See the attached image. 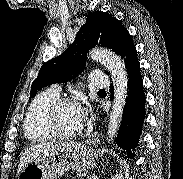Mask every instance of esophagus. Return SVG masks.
Returning a JSON list of instances; mask_svg holds the SVG:
<instances>
[{
	"mask_svg": "<svg viewBox=\"0 0 183 179\" xmlns=\"http://www.w3.org/2000/svg\"><path fill=\"white\" fill-rule=\"evenodd\" d=\"M99 135L97 133L93 134L87 139V143H96L98 141Z\"/></svg>",
	"mask_w": 183,
	"mask_h": 179,
	"instance_id": "34e87169",
	"label": "esophagus"
}]
</instances>
